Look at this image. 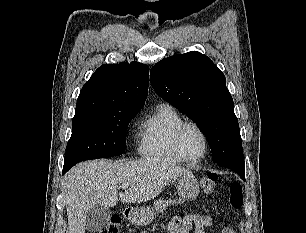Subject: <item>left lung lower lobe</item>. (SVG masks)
Listing matches in <instances>:
<instances>
[{
    "mask_svg": "<svg viewBox=\"0 0 306 233\" xmlns=\"http://www.w3.org/2000/svg\"><path fill=\"white\" fill-rule=\"evenodd\" d=\"M229 168L232 169L233 171H235L236 173H238L242 179H245L244 178L245 167H241V168H239V167H229Z\"/></svg>",
    "mask_w": 306,
    "mask_h": 233,
    "instance_id": "1",
    "label": "left lung lower lobe"
}]
</instances>
